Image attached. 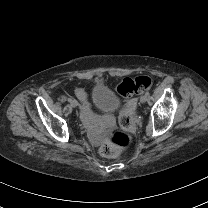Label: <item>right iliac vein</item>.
Listing matches in <instances>:
<instances>
[{
    "mask_svg": "<svg viewBox=\"0 0 208 208\" xmlns=\"http://www.w3.org/2000/svg\"><path fill=\"white\" fill-rule=\"evenodd\" d=\"M77 105H78L77 101H72V102H71V106H72V107L75 108V107H77Z\"/></svg>",
    "mask_w": 208,
    "mask_h": 208,
    "instance_id": "63e3f726",
    "label": "right iliac vein"
}]
</instances>
